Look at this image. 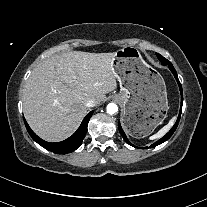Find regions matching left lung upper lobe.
<instances>
[{
	"label": "left lung upper lobe",
	"mask_w": 207,
	"mask_h": 207,
	"mask_svg": "<svg viewBox=\"0 0 207 207\" xmlns=\"http://www.w3.org/2000/svg\"><path fill=\"white\" fill-rule=\"evenodd\" d=\"M158 59L161 61V63L163 65L167 64L169 61L167 59H165L163 56H161L160 54H157Z\"/></svg>",
	"instance_id": "1"
}]
</instances>
